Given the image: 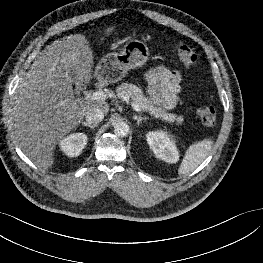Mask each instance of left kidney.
Masks as SVG:
<instances>
[{
	"label": "left kidney",
	"instance_id": "5707ae66",
	"mask_svg": "<svg viewBox=\"0 0 263 263\" xmlns=\"http://www.w3.org/2000/svg\"><path fill=\"white\" fill-rule=\"evenodd\" d=\"M146 138L150 149L157 158L168 163L177 162L179 153L170 135L163 131H150L146 134Z\"/></svg>",
	"mask_w": 263,
	"mask_h": 263
}]
</instances>
